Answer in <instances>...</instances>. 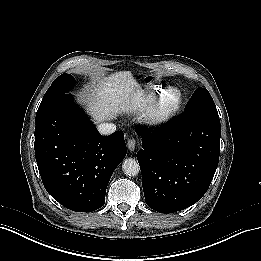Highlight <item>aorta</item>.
<instances>
[{
    "instance_id": "aorta-1",
    "label": "aorta",
    "mask_w": 261,
    "mask_h": 261,
    "mask_svg": "<svg viewBox=\"0 0 261 261\" xmlns=\"http://www.w3.org/2000/svg\"><path fill=\"white\" fill-rule=\"evenodd\" d=\"M122 171L127 176H136L140 172V166L136 159L126 158L122 163Z\"/></svg>"
}]
</instances>
